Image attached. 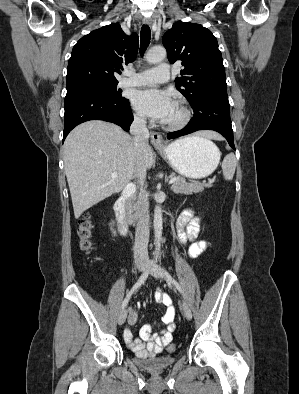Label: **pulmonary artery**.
Masks as SVG:
<instances>
[{
	"mask_svg": "<svg viewBox=\"0 0 299 394\" xmlns=\"http://www.w3.org/2000/svg\"><path fill=\"white\" fill-rule=\"evenodd\" d=\"M170 77V69L167 64H159L157 67L143 72L130 75L119 82L120 87L148 86L155 83L166 82Z\"/></svg>",
	"mask_w": 299,
	"mask_h": 394,
	"instance_id": "obj_1",
	"label": "pulmonary artery"
}]
</instances>
